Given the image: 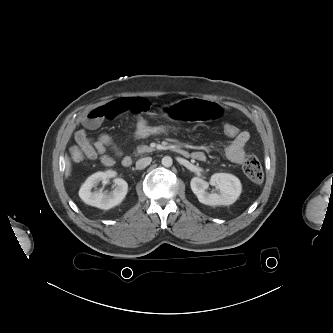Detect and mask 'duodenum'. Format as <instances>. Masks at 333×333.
Listing matches in <instances>:
<instances>
[{
	"instance_id": "obj_1",
	"label": "duodenum",
	"mask_w": 333,
	"mask_h": 333,
	"mask_svg": "<svg viewBox=\"0 0 333 333\" xmlns=\"http://www.w3.org/2000/svg\"><path fill=\"white\" fill-rule=\"evenodd\" d=\"M175 150L177 152H179L180 154H182V155H187V153L184 150L180 149V148H175ZM131 164H132V159L129 156H126V157L123 158L122 165L124 167H130Z\"/></svg>"
}]
</instances>
